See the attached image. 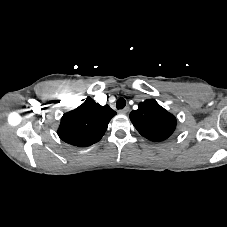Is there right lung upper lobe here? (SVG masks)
<instances>
[{
    "label": "right lung upper lobe",
    "mask_w": 227,
    "mask_h": 227,
    "mask_svg": "<svg viewBox=\"0 0 227 227\" xmlns=\"http://www.w3.org/2000/svg\"><path fill=\"white\" fill-rule=\"evenodd\" d=\"M116 112L108 105L101 106L91 98L61 118L59 137L71 145L86 147L98 142Z\"/></svg>",
    "instance_id": "1"
}]
</instances>
